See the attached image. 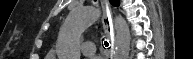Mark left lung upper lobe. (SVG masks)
<instances>
[{
  "mask_svg": "<svg viewBox=\"0 0 193 59\" xmlns=\"http://www.w3.org/2000/svg\"><path fill=\"white\" fill-rule=\"evenodd\" d=\"M111 4L114 6H119V0H110Z\"/></svg>",
  "mask_w": 193,
  "mask_h": 59,
  "instance_id": "5c2ea615",
  "label": "left lung upper lobe"
}]
</instances>
